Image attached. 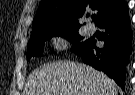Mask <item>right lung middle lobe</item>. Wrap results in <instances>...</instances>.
Wrapping results in <instances>:
<instances>
[{"label": "right lung middle lobe", "instance_id": "right-lung-middle-lobe-1", "mask_svg": "<svg viewBox=\"0 0 135 95\" xmlns=\"http://www.w3.org/2000/svg\"><path fill=\"white\" fill-rule=\"evenodd\" d=\"M52 36H61L74 43V47L72 48L73 52L79 50L88 41V40L84 42L80 41L82 37L78 34V30L43 31V32L32 33L27 49V60H29L32 56H41L44 42Z\"/></svg>", "mask_w": 135, "mask_h": 95}]
</instances>
